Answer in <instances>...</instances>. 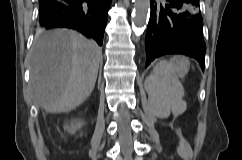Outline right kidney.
I'll return each instance as SVG.
<instances>
[{
	"label": "right kidney",
	"instance_id": "obj_1",
	"mask_svg": "<svg viewBox=\"0 0 242 160\" xmlns=\"http://www.w3.org/2000/svg\"><path fill=\"white\" fill-rule=\"evenodd\" d=\"M83 125V122L80 120L73 121L70 125H65L64 130H67L69 133H75Z\"/></svg>",
	"mask_w": 242,
	"mask_h": 160
}]
</instances>
